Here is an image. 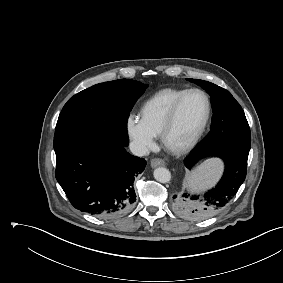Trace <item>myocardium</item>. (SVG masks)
Listing matches in <instances>:
<instances>
[{
  "label": "myocardium",
  "mask_w": 283,
  "mask_h": 283,
  "mask_svg": "<svg viewBox=\"0 0 283 283\" xmlns=\"http://www.w3.org/2000/svg\"><path fill=\"white\" fill-rule=\"evenodd\" d=\"M192 93L201 94L204 97V99H205V102H206V114H205L204 120H203L200 128L196 132V134L188 142H186L185 144H182L180 146H171L168 143L169 132L171 131V129H172L174 123H175V120H176V117H177V114H178V111L180 109V106H181L182 102L184 101V99L188 95H190ZM211 113H212V104H211V100H210V97L208 96V94L204 90L198 89V88L187 89L175 101V103L173 104L172 108L169 111V114H168V116L166 118L165 123L162 126L161 132L159 134L162 145L168 151H170L172 153H175V154H181V153H184V152H187V151L191 150L199 142V140L201 139L202 135L204 134V132H205V130H206L208 124H209V121H210V118H211Z\"/></svg>",
  "instance_id": "obj_1"
}]
</instances>
